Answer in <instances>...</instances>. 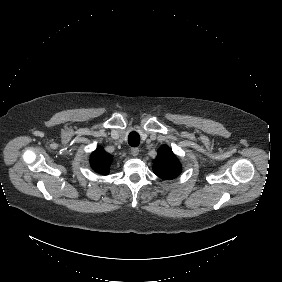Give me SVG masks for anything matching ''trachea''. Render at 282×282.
<instances>
[{"label": "trachea", "mask_w": 282, "mask_h": 282, "mask_svg": "<svg viewBox=\"0 0 282 282\" xmlns=\"http://www.w3.org/2000/svg\"><path fill=\"white\" fill-rule=\"evenodd\" d=\"M128 143L132 147H137L140 143V135L135 131L130 132L128 135Z\"/></svg>", "instance_id": "trachea-1"}]
</instances>
